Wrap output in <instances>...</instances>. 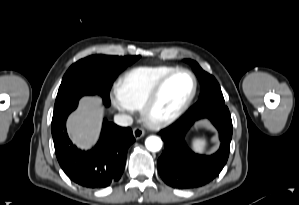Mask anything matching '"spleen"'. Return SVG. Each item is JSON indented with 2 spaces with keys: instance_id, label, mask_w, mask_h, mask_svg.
Returning a JSON list of instances; mask_svg holds the SVG:
<instances>
[{
  "instance_id": "3e777b00",
  "label": "spleen",
  "mask_w": 299,
  "mask_h": 205,
  "mask_svg": "<svg viewBox=\"0 0 299 205\" xmlns=\"http://www.w3.org/2000/svg\"><path fill=\"white\" fill-rule=\"evenodd\" d=\"M208 146L207 140L205 137L202 138H194L191 141V148L199 153H203L206 151Z\"/></svg>"
}]
</instances>
